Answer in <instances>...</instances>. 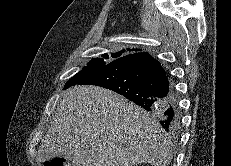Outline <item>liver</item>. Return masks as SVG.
Here are the masks:
<instances>
[{
  "instance_id": "liver-1",
  "label": "liver",
  "mask_w": 231,
  "mask_h": 166,
  "mask_svg": "<svg viewBox=\"0 0 231 166\" xmlns=\"http://www.w3.org/2000/svg\"><path fill=\"white\" fill-rule=\"evenodd\" d=\"M75 166H167L172 144L161 125L123 96L97 86L66 91L38 150Z\"/></svg>"
}]
</instances>
